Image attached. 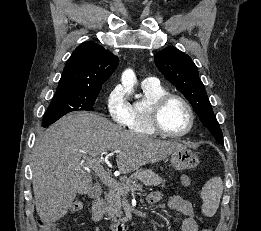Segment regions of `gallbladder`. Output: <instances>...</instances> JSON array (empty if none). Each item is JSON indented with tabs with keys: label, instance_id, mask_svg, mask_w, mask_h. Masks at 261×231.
I'll return each mask as SVG.
<instances>
[{
	"label": "gallbladder",
	"instance_id": "gallbladder-1",
	"mask_svg": "<svg viewBox=\"0 0 261 231\" xmlns=\"http://www.w3.org/2000/svg\"><path fill=\"white\" fill-rule=\"evenodd\" d=\"M96 193H97V191H96V189L94 188V190L91 191L89 194H90L92 197H94V196L96 195Z\"/></svg>",
	"mask_w": 261,
	"mask_h": 231
}]
</instances>
